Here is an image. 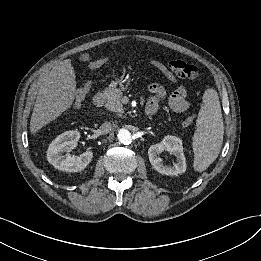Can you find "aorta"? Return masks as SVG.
I'll use <instances>...</instances> for the list:
<instances>
[{"label":"aorta","mask_w":261,"mask_h":261,"mask_svg":"<svg viewBox=\"0 0 261 261\" xmlns=\"http://www.w3.org/2000/svg\"><path fill=\"white\" fill-rule=\"evenodd\" d=\"M117 136L122 144L128 145L132 141L131 133L126 129H120Z\"/></svg>","instance_id":"762f6f07"}]
</instances>
